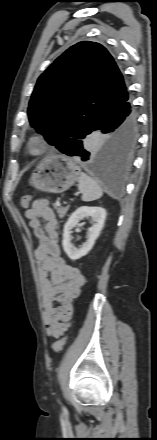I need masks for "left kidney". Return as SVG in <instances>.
Wrapping results in <instances>:
<instances>
[{"label":"left kidney","mask_w":157,"mask_h":440,"mask_svg":"<svg viewBox=\"0 0 157 440\" xmlns=\"http://www.w3.org/2000/svg\"><path fill=\"white\" fill-rule=\"evenodd\" d=\"M92 219V227L88 230V240L80 248L71 243V230L84 218ZM106 219V211L101 207H79L69 217L64 226L62 246L71 260H77L85 256L94 246L95 240L100 235Z\"/></svg>","instance_id":"obj_1"}]
</instances>
